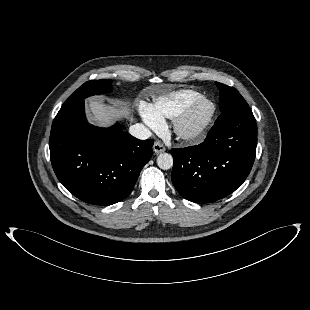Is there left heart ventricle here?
Returning a JSON list of instances; mask_svg holds the SVG:
<instances>
[{
  "mask_svg": "<svg viewBox=\"0 0 310 310\" xmlns=\"http://www.w3.org/2000/svg\"><path fill=\"white\" fill-rule=\"evenodd\" d=\"M209 109L210 107L206 103H202L197 107H195L188 119L187 128L192 129L197 127L206 117V115L209 112Z\"/></svg>",
  "mask_w": 310,
  "mask_h": 310,
  "instance_id": "obj_1",
  "label": "left heart ventricle"
}]
</instances>
